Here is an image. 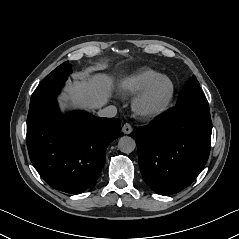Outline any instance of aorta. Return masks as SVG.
<instances>
[{"mask_svg": "<svg viewBox=\"0 0 239 239\" xmlns=\"http://www.w3.org/2000/svg\"><path fill=\"white\" fill-rule=\"evenodd\" d=\"M136 148V142L133 138L129 136H124L118 141V149L126 154H129L134 151Z\"/></svg>", "mask_w": 239, "mask_h": 239, "instance_id": "aorta-1", "label": "aorta"}]
</instances>
